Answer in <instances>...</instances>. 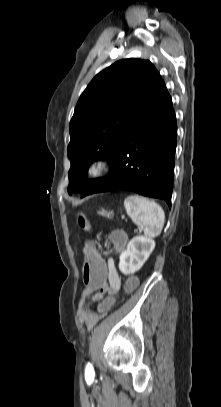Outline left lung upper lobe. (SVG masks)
Listing matches in <instances>:
<instances>
[{
	"label": "left lung upper lobe",
	"instance_id": "5c2ea615",
	"mask_svg": "<svg viewBox=\"0 0 221 407\" xmlns=\"http://www.w3.org/2000/svg\"><path fill=\"white\" fill-rule=\"evenodd\" d=\"M162 81L150 61L124 59L97 74L80 96L70 121L68 193L86 192L95 160L112 161L127 128Z\"/></svg>",
	"mask_w": 221,
	"mask_h": 407
}]
</instances>
